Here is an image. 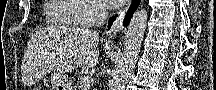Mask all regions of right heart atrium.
Here are the masks:
<instances>
[{
  "label": "right heart atrium",
  "mask_w": 216,
  "mask_h": 90,
  "mask_svg": "<svg viewBox=\"0 0 216 90\" xmlns=\"http://www.w3.org/2000/svg\"><path fill=\"white\" fill-rule=\"evenodd\" d=\"M74 3H82L83 6H88L90 0H73ZM102 10L97 5L88 6L81 14V20H97L101 15Z\"/></svg>",
  "instance_id": "obj_1"
}]
</instances>
